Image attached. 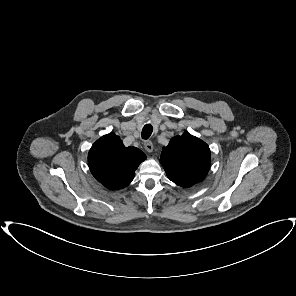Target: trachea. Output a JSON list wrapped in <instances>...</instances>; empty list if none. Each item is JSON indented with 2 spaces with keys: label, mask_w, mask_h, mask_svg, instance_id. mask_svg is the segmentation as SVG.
Here are the masks:
<instances>
[{
  "label": "trachea",
  "mask_w": 296,
  "mask_h": 296,
  "mask_svg": "<svg viewBox=\"0 0 296 296\" xmlns=\"http://www.w3.org/2000/svg\"><path fill=\"white\" fill-rule=\"evenodd\" d=\"M153 132V127L150 124H146L142 129V138L147 140Z\"/></svg>",
  "instance_id": "obj_1"
}]
</instances>
